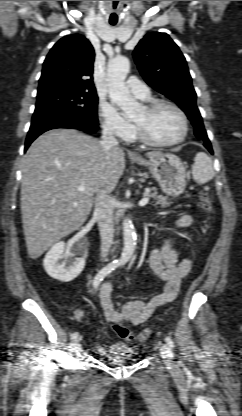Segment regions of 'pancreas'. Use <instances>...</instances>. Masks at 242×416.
Returning a JSON list of instances; mask_svg holds the SVG:
<instances>
[{"instance_id":"1","label":"pancreas","mask_w":242,"mask_h":416,"mask_svg":"<svg viewBox=\"0 0 242 416\" xmlns=\"http://www.w3.org/2000/svg\"><path fill=\"white\" fill-rule=\"evenodd\" d=\"M145 196L154 199V206L166 208L172 204V201L170 199H167V197L163 195H158V193L155 190H153L152 192L149 191L145 193Z\"/></svg>"}]
</instances>
